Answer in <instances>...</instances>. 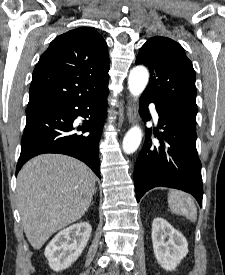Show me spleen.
<instances>
[{
  "instance_id": "spleen-1",
  "label": "spleen",
  "mask_w": 225,
  "mask_h": 275,
  "mask_svg": "<svg viewBox=\"0 0 225 275\" xmlns=\"http://www.w3.org/2000/svg\"><path fill=\"white\" fill-rule=\"evenodd\" d=\"M168 204L172 213L183 215L192 222L196 221V206L192 198L186 193L178 190H171L168 193Z\"/></svg>"
}]
</instances>
